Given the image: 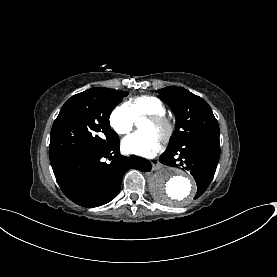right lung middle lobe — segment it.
<instances>
[{
    "label": "right lung middle lobe",
    "mask_w": 277,
    "mask_h": 277,
    "mask_svg": "<svg viewBox=\"0 0 277 277\" xmlns=\"http://www.w3.org/2000/svg\"><path fill=\"white\" fill-rule=\"evenodd\" d=\"M127 95L125 91L101 87L68 99L52 126L50 160L74 151L104 149L118 142L117 134L110 128L109 116Z\"/></svg>",
    "instance_id": "obj_1"
}]
</instances>
